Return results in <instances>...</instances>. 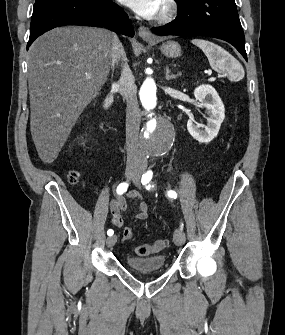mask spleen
I'll return each instance as SVG.
<instances>
[{
	"label": "spleen",
	"mask_w": 285,
	"mask_h": 335,
	"mask_svg": "<svg viewBox=\"0 0 285 335\" xmlns=\"http://www.w3.org/2000/svg\"><path fill=\"white\" fill-rule=\"evenodd\" d=\"M191 44L201 48L202 52L207 56L209 64L213 70H216L219 66H223L224 68L228 60H230L228 52L223 50V48H220V46H217V44L206 42V40H191Z\"/></svg>",
	"instance_id": "1"
}]
</instances>
